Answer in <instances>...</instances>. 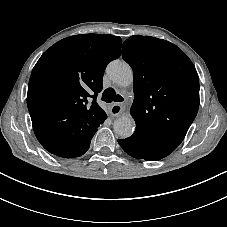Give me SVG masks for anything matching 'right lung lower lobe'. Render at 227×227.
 Returning a JSON list of instances; mask_svg holds the SVG:
<instances>
[{
  "label": "right lung lower lobe",
  "instance_id": "1",
  "mask_svg": "<svg viewBox=\"0 0 227 227\" xmlns=\"http://www.w3.org/2000/svg\"><path fill=\"white\" fill-rule=\"evenodd\" d=\"M86 152V151H85ZM84 152V153H85ZM51 153V152H50ZM83 153V154H84ZM53 154V153H52ZM54 155H57V156H59V157H64V158H73L72 156H66V155H58V154H54ZM81 156V155H80Z\"/></svg>",
  "mask_w": 227,
  "mask_h": 227
}]
</instances>
